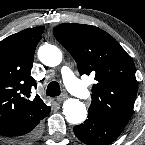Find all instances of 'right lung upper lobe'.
<instances>
[{
  "label": "right lung upper lobe",
  "instance_id": "obj_1",
  "mask_svg": "<svg viewBox=\"0 0 145 145\" xmlns=\"http://www.w3.org/2000/svg\"><path fill=\"white\" fill-rule=\"evenodd\" d=\"M43 26L25 29L0 42V129L21 127L46 109L37 95L28 100L36 81L30 76Z\"/></svg>",
  "mask_w": 145,
  "mask_h": 145
}]
</instances>
